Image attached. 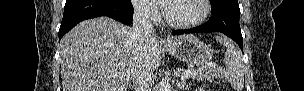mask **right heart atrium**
I'll use <instances>...</instances> for the list:
<instances>
[{
    "label": "right heart atrium",
    "instance_id": "right-heart-atrium-1",
    "mask_svg": "<svg viewBox=\"0 0 304 91\" xmlns=\"http://www.w3.org/2000/svg\"><path fill=\"white\" fill-rule=\"evenodd\" d=\"M136 11L140 17L148 20H156L159 16L158 10L154 5L143 2H138L136 4Z\"/></svg>",
    "mask_w": 304,
    "mask_h": 91
}]
</instances>
